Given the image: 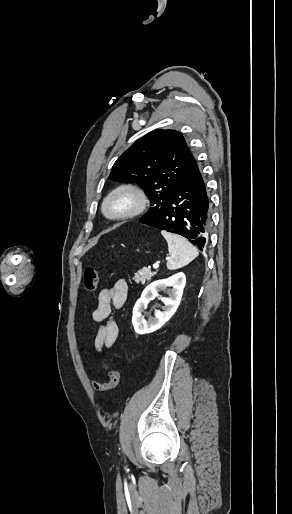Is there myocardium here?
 <instances>
[{
    "mask_svg": "<svg viewBox=\"0 0 292 514\" xmlns=\"http://www.w3.org/2000/svg\"><path fill=\"white\" fill-rule=\"evenodd\" d=\"M147 199L141 189L133 185H120L103 199L101 212L110 220H123L141 213Z\"/></svg>",
    "mask_w": 292,
    "mask_h": 514,
    "instance_id": "f54148a6",
    "label": "myocardium"
}]
</instances>
